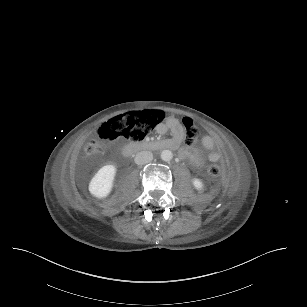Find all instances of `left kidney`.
I'll return each instance as SVG.
<instances>
[{
  "mask_svg": "<svg viewBox=\"0 0 307 307\" xmlns=\"http://www.w3.org/2000/svg\"><path fill=\"white\" fill-rule=\"evenodd\" d=\"M193 185L198 191H201L203 189V183L200 179H193Z\"/></svg>",
  "mask_w": 307,
  "mask_h": 307,
  "instance_id": "obj_1",
  "label": "left kidney"
}]
</instances>
